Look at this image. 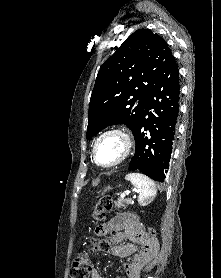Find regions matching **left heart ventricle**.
I'll return each instance as SVG.
<instances>
[{
    "instance_id": "left-heart-ventricle-1",
    "label": "left heart ventricle",
    "mask_w": 221,
    "mask_h": 278,
    "mask_svg": "<svg viewBox=\"0 0 221 278\" xmlns=\"http://www.w3.org/2000/svg\"><path fill=\"white\" fill-rule=\"evenodd\" d=\"M123 140L118 135H108L102 138L96 147L99 163L109 165L116 162L123 153Z\"/></svg>"
}]
</instances>
